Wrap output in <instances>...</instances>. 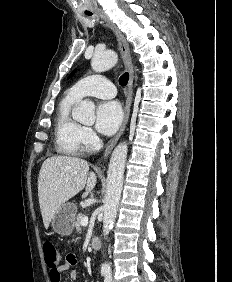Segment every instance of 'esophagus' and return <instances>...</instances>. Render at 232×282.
Here are the masks:
<instances>
[{"label":"esophagus","instance_id":"obj_1","mask_svg":"<svg viewBox=\"0 0 232 282\" xmlns=\"http://www.w3.org/2000/svg\"><path fill=\"white\" fill-rule=\"evenodd\" d=\"M97 14L100 16V18L110 27V29L113 31L120 50L121 57L123 59L124 65L126 70L129 73V80L127 84V90H126V104L124 108V118L121 125L120 130L115 135V137L109 142L108 146L105 149V152L103 154L102 159H106L111 151L113 150L114 146L116 145L117 141L121 137V135L124 133L125 128L127 126L129 116H130V110H131V104H132V98H133V81H134V67L132 62V57L129 49V45L122 34V32L119 30V28L110 20L108 15L104 13L102 10H97Z\"/></svg>","mask_w":232,"mask_h":282}]
</instances>
